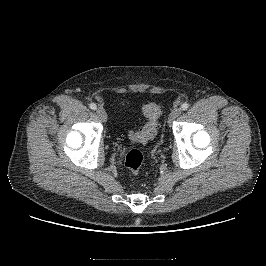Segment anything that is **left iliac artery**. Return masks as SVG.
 Returning <instances> with one entry per match:
<instances>
[{"label":"left iliac artery","instance_id":"1","mask_svg":"<svg viewBox=\"0 0 266 266\" xmlns=\"http://www.w3.org/2000/svg\"><path fill=\"white\" fill-rule=\"evenodd\" d=\"M189 108V103L185 102L181 105L182 110H187Z\"/></svg>","mask_w":266,"mask_h":266}]
</instances>
